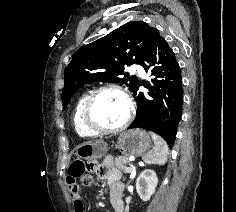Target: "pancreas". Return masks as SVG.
Listing matches in <instances>:
<instances>
[{
    "mask_svg": "<svg viewBox=\"0 0 236 212\" xmlns=\"http://www.w3.org/2000/svg\"><path fill=\"white\" fill-rule=\"evenodd\" d=\"M129 162V159L127 156H119V157H116L115 158V161H114V166L117 168V169H120L124 172H127L128 168L126 165L127 163ZM131 170H129L128 173H130Z\"/></svg>",
    "mask_w": 236,
    "mask_h": 212,
    "instance_id": "1",
    "label": "pancreas"
}]
</instances>
